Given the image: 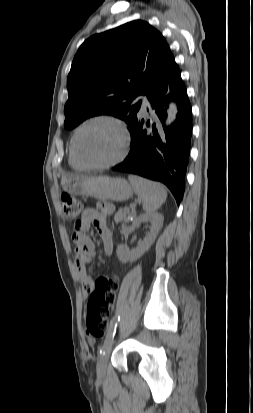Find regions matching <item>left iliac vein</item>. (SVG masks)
Returning a JSON list of instances; mask_svg holds the SVG:
<instances>
[{"label": "left iliac vein", "instance_id": "4c4485c4", "mask_svg": "<svg viewBox=\"0 0 253 413\" xmlns=\"http://www.w3.org/2000/svg\"><path fill=\"white\" fill-rule=\"evenodd\" d=\"M110 351H111V346L106 347L98 359L96 371H97L98 376L100 377L104 376L106 372V367H107Z\"/></svg>", "mask_w": 253, "mask_h": 413}]
</instances>
